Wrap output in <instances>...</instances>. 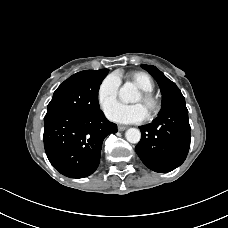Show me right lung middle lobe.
<instances>
[{
  "label": "right lung middle lobe",
  "instance_id": "dd1d6c3e",
  "mask_svg": "<svg viewBox=\"0 0 228 228\" xmlns=\"http://www.w3.org/2000/svg\"><path fill=\"white\" fill-rule=\"evenodd\" d=\"M108 69L85 70L65 80L54 92L47 113L66 111L96 113L100 110L98 91Z\"/></svg>",
  "mask_w": 228,
  "mask_h": 228
}]
</instances>
